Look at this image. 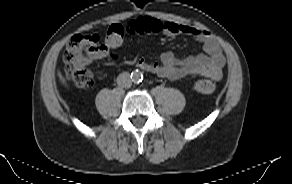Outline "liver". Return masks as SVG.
<instances>
[{"label": "liver", "mask_w": 292, "mask_h": 184, "mask_svg": "<svg viewBox=\"0 0 292 184\" xmlns=\"http://www.w3.org/2000/svg\"><path fill=\"white\" fill-rule=\"evenodd\" d=\"M58 76L60 77L61 81L64 83L65 81H64V79L59 71H58Z\"/></svg>", "instance_id": "6515ba94"}]
</instances>
